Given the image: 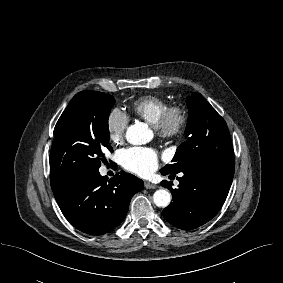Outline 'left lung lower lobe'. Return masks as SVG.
Wrapping results in <instances>:
<instances>
[{
  "label": "left lung lower lobe",
  "mask_w": 283,
  "mask_h": 283,
  "mask_svg": "<svg viewBox=\"0 0 283 283\" xmlns=\"http://www.w3.org/2000/svg\"><path fill=\"white\" fill-rule=\"evenodd\" d=\"M234 171V162L222 166H196L180 171L183 176L177 177V189L162 181L161 185L171 191L173 199L163 210L164 218L183 230H192L210 221L224 204ZM160 172L174 177L177 174Z\"/></svg>",
  "instance_id": "1"
}]
</instances>
